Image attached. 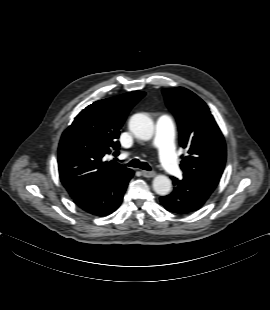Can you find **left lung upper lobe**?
Instances as JSON below:
<instances>
[{
	"mask_svg": "<svg viewBox=\"0 0 270 310\" xmlns=\"http://www.w3.org/2000/svg\"><path fill=\"white\" fill-rule=\"evenodd\" d=\"M175 115L180 145L188 151L181 169L187 178L218 184L226 161L224 137L209 108L196 94L182 87L162 90Z\"/></svg>",
	"mask_w": 270,
	"mask_h": 310,
	"instance_id": "obj_1",
	"label": "left lung upper lobe"
}]
</instances>
